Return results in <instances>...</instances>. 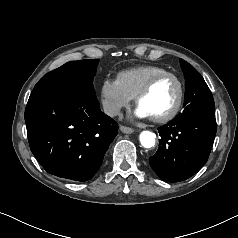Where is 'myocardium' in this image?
<instances>
[{"label":"myocardium","instance_id":"myocardium-1","mask_svg":"<svg viewBox=\"0 0 238 238\" xmlns=\"http://www.w3.org/2000/svg\"><path fill=\"white\" fill-rule=\"evenodd\" d=\"M165 77H170L173 78L177 85H178V96H177V100L174 104V106L172 107V109L167 112L164 115L161 116H157V117H151V120L156 122V123H165L168 122L172 119H174L178 113L180 112L182 105H183V101H184V96H185V86L184 83L182 81V79L169 71L154 75L153 77H151L144 85L143 87L137 92V94L135 95L134 99H135V104L138 106L140 100L150 92V90L152 89V87L161 79L165 78Z\"/></svg>","mask_w":238,"mask_h":238}]
</instances>
